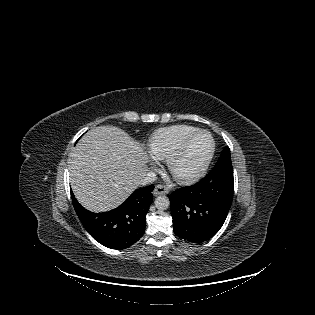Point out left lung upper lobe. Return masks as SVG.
<instances>
[{
	"mask_svg": "<svg viewBox=\"0 0 315 315\" xmlns=\"http://www.w3.org/2000/svg\"><path fill=\"white\" fill-rule=\"evenodd\" d=\"M223 175H233V167L230 156V149L225 147L222 151L221 156L219 157L216 165L209 173V176L212 178H217Z\"/></svg>",
	"mask_w": 315,
	"mask_h": 315,
	"instance_id": "5c2ea615",
	"label": "left lung upper lobe"
}]
</instances>
